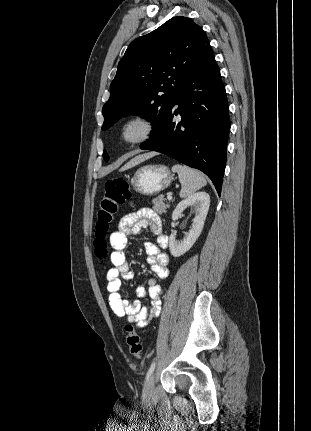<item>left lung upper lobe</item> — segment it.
Here are the masks:
<instances>
[{
	"mask_svg": "<svg viewBox=\"0 0 311 431\" xmlns=\"http://www.w3.org/2000/svg\"><path fill=\"white\" fill-rule=\"evenodd\" d=\"M210 49L202 28L180 16L132 41L110 85V98L102 109V130L133 114L153 123V136L182 83ZM103 157L109 160L106 151Z\"/></svg>",
	"mask_w": 311,
	"mask_h": 431,
	"instance_id": "left-lung-upper-lobe-1",
	"label": "left lung upper lobe"
}]
</instances>
